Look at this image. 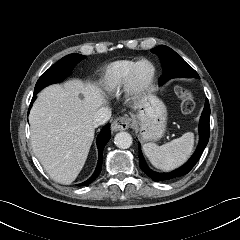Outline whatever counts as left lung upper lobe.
<instances>
[{
	"instance_id": "obj_1",
	"label": "left lung upper lobe",
	"mask_w": 240,
	"mask_h": 240,
	"mask_svg": "<svg viewBox=\"0 0 240 240\" xmlns=\"http://www.w3.org/2000/svg\"><path fill=\"white\" fill-rule=\"evenodd\" d=\"M151 52L157 54L162 61L164 73L159 79L160 84L173 77H199L197 72L171 48L159 45Z\"/></svg>"
}]
</instances>
